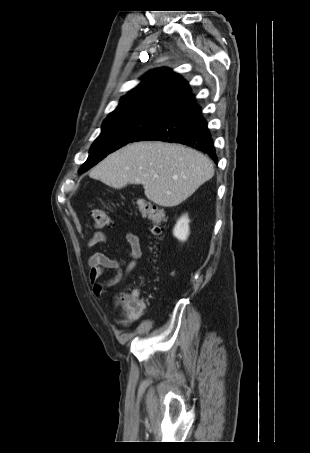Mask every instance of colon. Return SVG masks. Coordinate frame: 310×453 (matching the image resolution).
Returning a JSON list of instances; mask_svg holds the SVG:
<instances>
[{
	"instance_id": "obj_1",
	"label": "colon",
	"mask_w": 310,
	"mask_h": 453,
	"mask_svg": "<svg viewBox=\"0 0 310 453\" xmlns=\"http://www.w3.org/2000/svg\"><path fill=\"white\" fill-rule=\"evenodd\" d=\"M137 212L150 222V231L155 237L162 233L164 223L163 211L154 203L145 199H137L135 202ZM91 218L96 228L102 229L109 225L107 212L100 207H93L90 211ZM115 306L126 316L138 317L145 311V303L139 297L137 291L120 294L115 298Z\"/></svg>"
}]
</instances>
